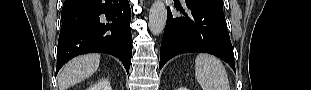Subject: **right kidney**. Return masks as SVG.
Listing matches in <instances>:
<instances>
[{"instance_id":"1","label":"right kidney","mask_w":311,"mask_h":90,"mask_svg":"<svg viewBox=\"0 0 311 90\" xmlns=\"http://www.w3.org/2000/svg\"><path fill=\"white\" fill-rule=\"evenodd\" d=\"M88 90H111L108 80H100L93 86H90Z\"/></svg>"}]
</instances>
